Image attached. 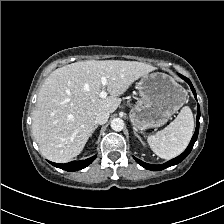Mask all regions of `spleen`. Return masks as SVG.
<instances>
[{
    "instance_id": "1",
    "label": "spleen",
    "mask_w": 224,
    "mask_h": 224,
    "mask_svg": "<svg viewBox=\"0 0 224 224\" xmlns=\"http://www.w3.org/2000/svg\"><path fill=\"white\" fill-rule=\"evenodd\" d=\"M194 131V119L191 109L185 106L174 121L147 142L152 151L163 159H172L180 155L188 146Z\"/></svg>"
}]
</instances>
